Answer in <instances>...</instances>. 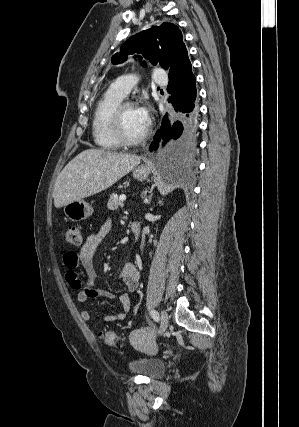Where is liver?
Masks as SVG:
<instances>
[{
  "instance_id": "obj_1",
  "label": "liver",
  "mask_w": 299,
  "mask_h": 427,
  "mask_svg": "<svg viewBox=\"0 0 299 427\" xmlns=\"http://www.w3.org/2000/svg\"><path fill=\"white\" fill-rule=\"evenodd\" d=\"M141 161L132 154L87 149L73 158L58 176L54 191V206L81 200L106 190L128 174Z\"/></svg>"
}]
</instances>
